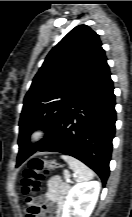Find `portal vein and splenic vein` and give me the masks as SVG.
<instances>
[{"label":"portal vein and splenic vein","instance_id":"obj_1","mask_svg":"<svg viewBox=\"0 0 132 217\" xmlns=\"http://www.w3.org/2000/svg\"><path fill=\"white\" fill-rule=\"evenodd\" d=\"M65 180L66 182H70V175L68 173H65Z\"/></svg>","mask_w":132,"mask_h":217}]
</instances>
